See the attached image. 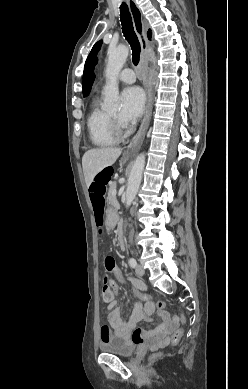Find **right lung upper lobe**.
Segmentation results:
<instances>
[{
    "instance_id": "right-lung-upper-lobe-1",
    "label": "right lung upper lobe",
    "mask_w": 248,
    "mask_h": 389,
    "mask_svg": "<svg viewBox=\"0 0 248 389\" xmlns=\"http://www.w3.org/2000/svg\"><path fill=\"white\" fill-rule=\"evenodd\" d=\"M147 36H148V39L150 40V39H151V37H152L151 30H149V31L147 32Z\"/></svg>"
}]
</instances>
